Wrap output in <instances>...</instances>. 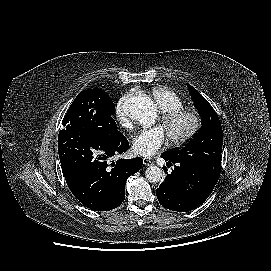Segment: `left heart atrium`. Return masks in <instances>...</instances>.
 Returning <instances> with one entry per match:
<instances>
[{
	"instance_id": "left-heart-atrium-1",
	"label": "left heart atrium",
	"mask_w": 271,
	"mask_h": 271,
	"mask_svg": "<svg viewBox=\"0 0 271 271\" xmlns=\"http://www.w3.org/2000/svg\"><path fill=\"white\" fill-rule=\"evenodd\" d=\"M167 143V134L162 126L144 129L132 141L133 151L143 157H152Z\"/></svg>"
}]
</instances>
